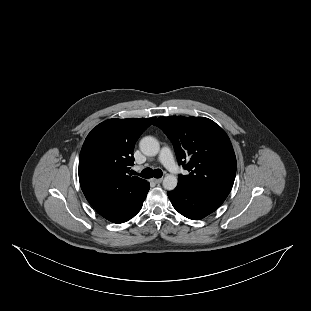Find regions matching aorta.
<instances>
[{
	"mask_svg": "<svg viewBox=\"0 0 311 311\" xmlns=\"http://www.w3.org/2000/svg\"><path fill=\"white\" fill-rule=\"evenodd\" d=\"M141 152L148 157H155L160 152L159 142L151 136H146L139 143ZM178 183V178L175 174L169 173L163 179V186L168 190H173Z\"/></svg>",
	"mask_w": 311,
	"mask_h": 311,
	"instance_id": "1",
	"label": "aorta"
}]
</instances>
